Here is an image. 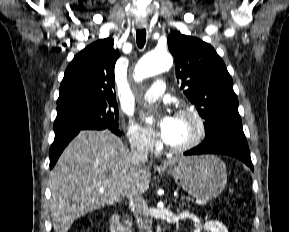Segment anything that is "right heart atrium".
Instances as JSON below:
<instances>
[{
    "label": "right heart atrium",
    "mask_w": 289,
    "mask_h": 232,
    "mask_svg": "<svg viewBox=\"0 0 289 232\" xmlns=\"http://www.w3.org/2000/svg\"><path fill=\"white\" fill-rule=\"evenodd\" d=\"M127 136L131 147L137 151L151 153L157 146L154 139L134 123L128 125Z\"/></svg>",
    "instance_id": "1"
}]
</instances>
